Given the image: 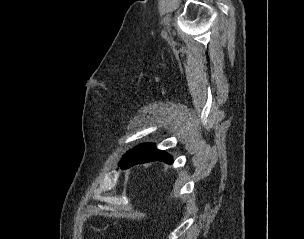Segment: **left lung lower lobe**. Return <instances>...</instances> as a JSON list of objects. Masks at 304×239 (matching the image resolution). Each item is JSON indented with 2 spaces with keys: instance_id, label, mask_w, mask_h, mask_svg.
I'll return each instance as SVG.
<instances>
[{
  "instance_id": "1",
  "label": "left lung lower lobe",
  "mask_w": 304,
  "mask_h": 239,
  "mask_svg": "<svg viewBox=\"0 0 304 239\" xmlns=\"http://www.w3.org/2000/svg\"><path fill=\"white\" fill-rule=\"evenodd\" d=\"M124 160L120 161L121 168H129L139 163H146L152 161H163L165 163H173L172 157L156 149L152 144H140L134 147L130 152L124 156Z\"/></svg>"
}]
</instances>
